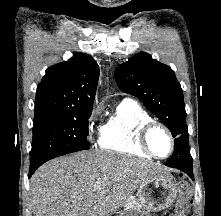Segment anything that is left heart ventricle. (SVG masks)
<instances>
[{
	"label": "left heart ventricle",
	"instance_id": "left-heart-ventricle-1",
	"mask_svg": "<svg viewBox=\"0 0 221 216\" xmlns=\"http://www.w3.org/2000/svg\"><path fill=\"white\" fill-rule=\"evenodd\" d=\"M149 144L158 155H167L170 151V141L168 136L161 129H155L149 138Z\"/></svg>",
	"mask_w": 221,
	"mask_h": 216
}]
</instances>
